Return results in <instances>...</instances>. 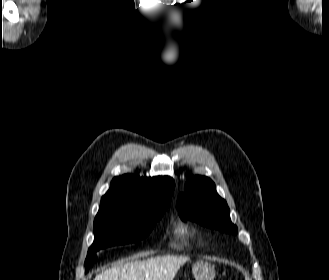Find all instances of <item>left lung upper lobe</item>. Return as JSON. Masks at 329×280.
Returning a JSON list of instances; mask_svg holds the SVG:
<instances>
[{"label": "left lung upper lobe", "instance_id": "1", "mask_svg": "<svg viewBox=\"0 0 329 280\" xmlns=\"http://www.w3.org/2000/svg\"><path fill=\"white\" fill-rule=\"evenodd\" d=\"M177 209L182 220H193L209 228L237 234L226 201L217 194L215 184L208 177L188 179L184 193L178 197Z\"/></svg>", "mask_w": 329, "mask_h": 280}]
</instances>
